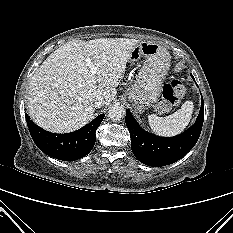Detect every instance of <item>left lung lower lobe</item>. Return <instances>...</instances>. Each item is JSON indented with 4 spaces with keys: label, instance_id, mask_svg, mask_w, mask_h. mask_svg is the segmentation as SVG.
<instances>
[{
    "label": "left lung lower lobe",
    "instance_id": "1",
    "mask_svg": "<svg viewBox=\"0 0 233 233\" xmlns=\"http://www.w3.org/2000/svg\"><path fill=\"white\" fill-rule=\"evenodd\" d=\"M195 81L193 75H191ZM204 121V101L196 122L183 133L174 137H159L144 131L127 110L125 122L130 132L132 151L142 163L161 167L172 164L183 158L196 144Z\"/></svg>",
    "mask_w": 233,
    "mask_h": 233
}]
</instances>
